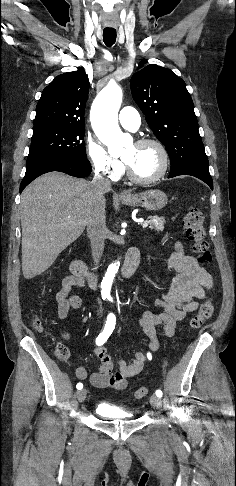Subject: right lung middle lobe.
<instances>
[{
    "label": "right lung middle lobe",
    "mask_w": 236,
    "mask_h": 486,
    "mask_svg": "<svg viewBox=\"0 0 236 486\" xmlns=\"http://www.w3.org/2000/svg\"><path fill=\"white\" fill-rule=\"evenodd\" d=\"M84 134L85 127L52 125L33 127L28 158L48 155L87 159Z\"/></svg>",
    "instance_id": "right-lung-middle-lobe-1"
}]
</instances>
